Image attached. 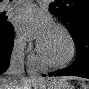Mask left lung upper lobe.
I'll list each match as a JSON object with an SVG mask.
<instances>
[{
    "mask_svg": "<svg viewBox=\"0 0 89 89\" xmlns=\"http://www.w3.org/2000/svg\"><path fill=\"white\" fill-rule=\"evenodd\" d=\"M49 10L61 20L72 37L81 28H89V0H55Z\"/></svg>",
    "mask_w": 89,
    "mask_h": 89,
    "instance_id": "obj_1",
    "label": "left lung upper lobe"
}]
</instances>
